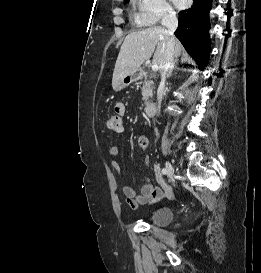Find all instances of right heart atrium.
<instances>
[{
	"mask_svg": "<svg viewBox=\"0 0 261 273\" xmlns=\"http://www.w3.org/2000/svg\"><path fill=\"white\" fill-rule=\"evenodd\" d=\"M140 25L153 26L175 17V12L167 0H134Z\"/></svg>",
	"mask_w": 261,
	"mask_h": 273,
	"instance_id": "obj_1",
	"label": "right heart atrium"
}]
</instances>
